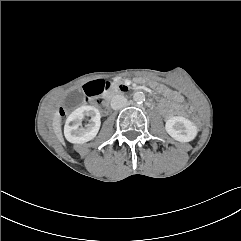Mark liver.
<instances>
[{
    "label": "liver",
    "instance_id": "obj_1",
    "mask_svg": "<svg viewBox=\"0 0 241 241\" xmlns=\"http://www.w3.org/2000/svg\"><path fill=\"white\" fill-rule=\"evenodd\" d=\"M60 116L59 114L57 113L55 116H54V119H53V129L55 131V133L59 136H61V127H60Z\"/></svg>",
    "mask_w": 241,
    "mask_h": 241
}]
</instances>
